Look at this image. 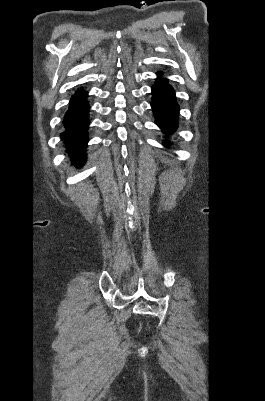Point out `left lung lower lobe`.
<instances>
[{"label": "left lung lower lobe", "mask_w": 265, "mask_h": 401, "mask_svg": "<svg viewBox=\"0 0 265 401\" xmlns=\"http://www.w3.org/2000/svg\"><path fill=\"white\" fill-rule=\"evenodd\" d=\"M151 106L155 115L156 124L167 135L177 129L179 105L176 102L174 89L166 79L157 78L152 87ZM167 141L164 142L167 145Z\"/></svg>", "instance_id": "0a47b994"}]
</instances>
